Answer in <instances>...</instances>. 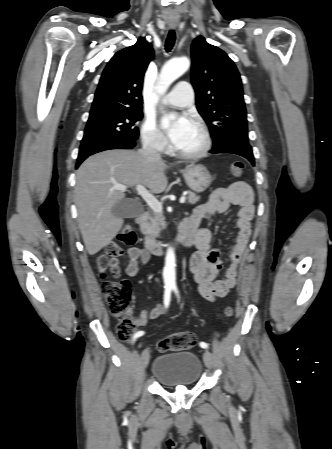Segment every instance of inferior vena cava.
Here are the masks:
<instances>
[{
	"label": "inferior vena cava",
	"instance_id": "obj_1",
	"mask_svg": "<svg viewBox=\"0 0 332 449\" xmlns=\"http://www.w3.org/2000/svg\"><path fill=\"white\" fill-rule=\"evenodd\" d=\"M139 154L147 160L151 161L161 160L160 153L157 151L153 143L150 141H145L143 143V147L139 150Z\"/></svg>",
	"mask_w": 332,
	"mask_h": 449
}]
</instances>
